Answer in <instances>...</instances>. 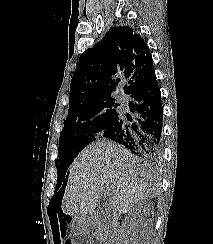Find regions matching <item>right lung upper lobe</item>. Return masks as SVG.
I'll return each mask as SVG.
<instances>
[{"instance_id": "cb5924a9", "label": "right lung upper lobe", "mask_w": 213, "mask_h": 244, "mask_svg": "<svg viewBox=\"0 0 213 244\" xmlns=\"http://www.w3.org/2000/svg\"><path fill=\"white\" fill-rule=\"evenodd\" d=\"M154 70L152 57L143 39L132 28H111L93 48L81 54L70 85L69 108L111 96L120 86L118 73L128 80L131 94Z\"/></svg>"}]
</instances>
